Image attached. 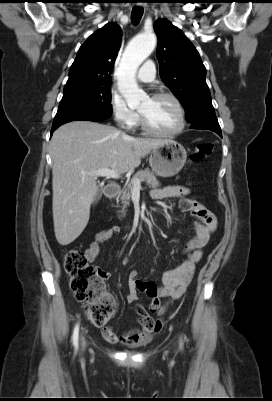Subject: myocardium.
Returning <instances> with one entry per match:
<instances>
[{
	"label": "myocardium",
	"instance_id": "obj_1",
	"mask_svg": "<svg viewBox=\"0 0 272 401\" xmlns=\"http://www.w3.org/2000/svg\"><path fill=\"white\" fill-rule=\"evenodd\" d=\"M151 99H162V98H167L170 99L174 102V104L177 107V110L179 112V124L178 126L172 130V131H160L157 129H154L153 127H151L145 116L139 111V122H140V126L142 128L143 131H145L148 134L154 135V136H160V137H174L179 135L185 128L186 126V112H185V108L182 104V102L180 101V99L170 93V92H157L154 93L151 97Z\"/></svg>",
	"mask_w": 272,
	"mask_h": 401
}]
</instances>
